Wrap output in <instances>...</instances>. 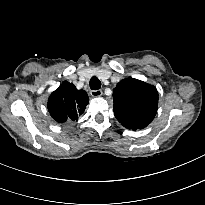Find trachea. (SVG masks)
Here are the masks:
<instances>
[{
	"label": "trachea",
	"mask_w": 205,
	"mask_h": 205,
	"mask_svg": "<svg viewBox=\"0 0 205 205\" xmlns=\"http://www.w3.org/2000/svg\"><path fill=\"white\" fill-rule=\"evenodd\" d=\"M101 87V82L97 77H92L90 80V88L92 90H98Z\"/></svg>",
	"instance_id": "obj_1"
}]
</instances>
